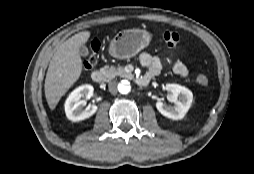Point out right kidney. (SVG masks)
I'll return each mask as SVG.
<instances>
[{
    "instance_id": "ca27d5eb",
    "label": "right kidney",
    "mask_w": 254,
    "mask_h": 174,
    "mask_svg": "<svg viewBox=\"0 0 254 174\" xmlns=\"http://www.w3.org/2000/svg\"><path fill=\"white\" fill-rule=\"evenodd\" d=\"M93 91V86L86 84L71 92L65 102V113L69 120L73 122L81 121L89 118L97 111L96 105H90L84 110L82 109V106L86 105V101L82 98L91 96Z\"/></svg>"
}]
</instances>
